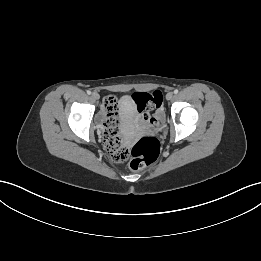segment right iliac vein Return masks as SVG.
Here are the masks:
<instances>
[{"label":"right iliac vein","mask_w":261,"mask_h":261,"mask_svg":"<svg viewBox=\"0 0 261 261\" xmlns=\"http://www.w3.org/2000/svg\"><path fill=\"white\" fill-rule=\"evenodd\" d=\"M92 98H93L94 100H98V99L100 98V96H99V94H98L97 92H93V93H92Z\"/></svg>","instance_id":"1"}]
</instances>
